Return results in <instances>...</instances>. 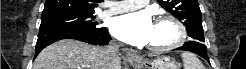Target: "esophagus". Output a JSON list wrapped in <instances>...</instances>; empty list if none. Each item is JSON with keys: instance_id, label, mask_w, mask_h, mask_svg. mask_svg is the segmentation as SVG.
<instances>
[{"instance_id": "1", "label": "esophagus", "mask_w": 246, "mask_h": 69, "mask_svg": "<svg viewBox=\"0 0 246 69\" xmlns=\"http://www.w3.org/2000/svg\"><path fill=\"white\" fill-rule=\"evenodd\" d=\"M123 51L125 52V55L128 59L129 62H135L139 60V54L137 50L132 49V48H124Z\"/></svg>"}]
</instances>
